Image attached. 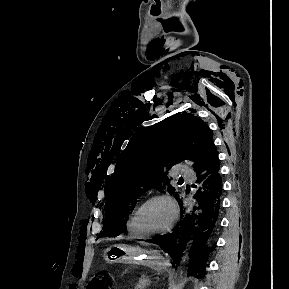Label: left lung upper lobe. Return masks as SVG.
I'll return each mask as SVG.
<instances>
[{"mask_svg": "<svg viewBox=\"0 0 289 289\" xmlns=\"http://www.w3.org/2000/svg\"><path fill=\"white\" fill-rule=\"evenodd\" d=\"M191 111L166 118L132 137L107 182L105 221L98 237L118 236L136 199L149 189L169 190L177 199L169 168L189 159L197 170L216 148L208 125Z\"/></svg>", "mask_w": 289, "mask_h": 289, "instance_id": "1", "label": "left lung upper lobe"}]
</instances>
